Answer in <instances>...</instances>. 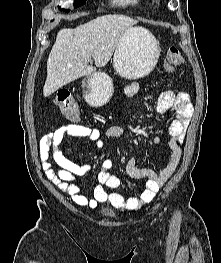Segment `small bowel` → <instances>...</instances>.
<instances>
[{"mask_svg":"<svg viewBox=\"0 0 221 263\" xmlns=\"http://www.w3.org/2000/svg\"><path fill=\"white\" fill-rule=\"evenodd\" d=\"M139 84L132 82L125 88L127 96H133L139 91ZM170 110L175 113V118L168 128L169 154L167 165L159 172L149 168H140L134 158H130L126 164V170L132 180L146 179L145 187L139 191L138 196L125 197L120 193L111 192L109 189H117L121 182L109 169L112 161L105 159L103 169L98 174L99 184L93 189V198L88 199L82 192L80 186L75 184V179L86 175L90 171L89 165H81L68 159L59 145L64 141L66 135L77 138H88L96 149L104 147L102 133L98 129L88 128L78 124L62 126L44 135L40 141V159L47 178L57 188L68 194L73 202L79 206L95 208L99 203H108L113 208L122 211H137L142 205L151 202L158 190L166 183L176 170L181 159V145L183 144L187 128L192 116L190 96L182 90L164 91L158 102V111L166 114ZM125 128L114 125L109 127L104 136L106 138H118L125 133ZM158 142V138H155ZM59 166L55 169L49 159Z\"/></svg>","mask_w":221,"mask_h":263,"instance_id":"1","label":"small bowel"}]
</instances>
